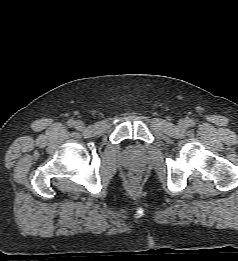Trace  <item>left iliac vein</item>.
Instances as JSON below:
<instances>
[{
	"instance_id": "obj_1",
	"label": "left iliac vein",
	"mask_w": 238,
	"mask_h": 261,
	"mask_svg": "<svg viewBox=\"0 0 238 261\" xmlns=\"http://www.w3.org/2000/svg\"><path fill=\"white\" fill-rule=\"evenodd\" d=\"M187 125V122L185 120H180L179 123H178V126L180 128H185Z\"/></svg>"
}]
</instances>
